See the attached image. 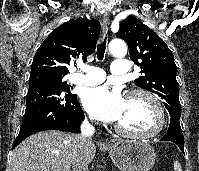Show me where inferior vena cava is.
I'll return each instance as SVG.
<instances>
[{
	"instance_id": "602c4592",
	"label": "inferior vena cava",
	"mask_w": 199,
	"mask_h": 171,
	"mask_svg": "<svg viewBox=\"0 0 199 171\" xmlns=\"http://www.w3.org/2000/svg\"><path fill=\"white\" fill-rule=\"evenodd\" d=\"M80 128L81 134L77 136V149L72 161V171H88L85 148L91 142L90 138L95 133V127L85 120Z\"/></svg>"
}]
</instances>
